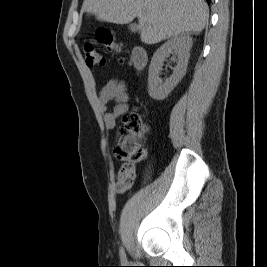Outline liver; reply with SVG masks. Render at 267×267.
Instances as JSON below:
<instances>
[{"instance_id":"1","label":"liver","mask_w":267,"mask_h":267,"mask_svg":"<svg viewBox=\"0 0 267 267\" xmlns=\"http://www.w3.org/2000/svg\"><path fill=\"white\" fill-rule=\"evenodd\" d=\"M82 12L115 24L137 17L141 41L149 45L179 34H198L209 16L204 0H84Z\"/></svg>"}]
</instances>
